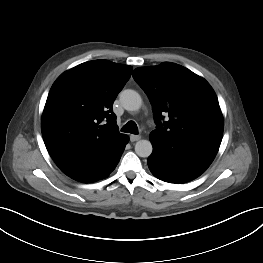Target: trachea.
Returning <instances> with one entry per match:
<instances>
[{"label":"trachea","instance_id":"3493384b","mask_svg":"<svg viewBox=\"0 0 263 263\" xmlns=\"http://www.w3.org/2000/svg\"><path fill=\"white\" fill-rule=\"evenodd\" d=\"M122 132L138 134L137 124L134 121L127 122L122 128Z\"/></svg>","mask_w":263,"mask_h":263}]
</instances>
